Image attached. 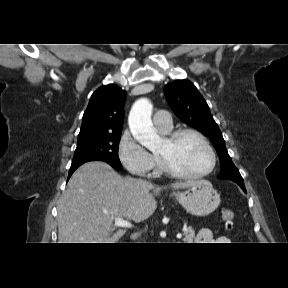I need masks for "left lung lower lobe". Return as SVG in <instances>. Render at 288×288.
<instances>
[{"mask_svg":"<svg viewBox=\"0 0 288 288\" xmlns=\"http://www.w3.org/2000/svg\"><path fill=\"white\" fill-rule=\"evenodd\" d=\"M240 187L243 189V191L246 192L245 186H240Z\"/></svg>","mask_w":288,"mask_h":288,"instance_id":"1","label":"left lung lower lobe"}]
</instances>
